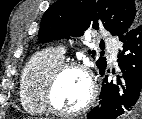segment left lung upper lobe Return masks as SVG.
I'll return each mask as SVG.
<instances>
[{
    "instance_id": "1",
    "label": "left lung upper lobe",
    "mask_w": 142,
    "mask_h": 119,
    "mask_svg": "<svg viewBox=\"0 0 142 119\" xmlns=\"http://www.w3.org/2000/svg\"><path fill=\"white\" fill-rule=\"evenodd\" d=\"M141 22V9L136 0H58L42 17L39 39L49 42L82 36L90 26L97 30L105 28L120 38ZM96 65L103 72L106 59L99 58Z\"/></svg>"
}]
</instances>
